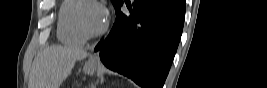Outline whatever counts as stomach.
Listing matches in <instances>:
<instances>
[{
    "label": "stomach",
    "instance_id": "obj_1",
    "mask_svg": "<svg viewBox=\"0 0 267 88\" xmlns=\"http://www.w3.org/2000/svg\"><path fill=\"white\" fill-rule=\"evenodd\" d=\"M96 68H97V64L96 63L88 61L84 66V72L86 74L92 75L96 71Z\"/></svg>",
    "mask_w": 267,
    "mask_h": 88
}]
</instances>
